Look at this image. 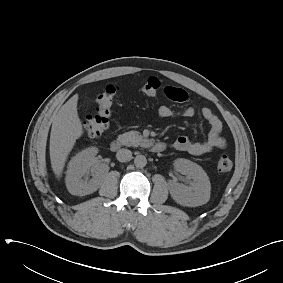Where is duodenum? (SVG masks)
Here are the masks:
<instances>
[{"mask_svg":"<svg viewBox=\"0 0 283 283\" xmlns=\"http://www.w3.org/2000/svg\"><path fill=\"white\" fill-rule=\"evenodd\" d=\"M122 147V144L119 140L115 139L113 141H111L110 143V149L111 151L113 152H116L118 151L119 149H121ZM151 150L153 152H156V153H159V152H162L165 150L166 146L164 143L162 142H153L150 146Z\"/></svg>","mask_w":283,"mask_h":283,"instance_id":"obj_1","label":"duodenum"}]
</instances>
